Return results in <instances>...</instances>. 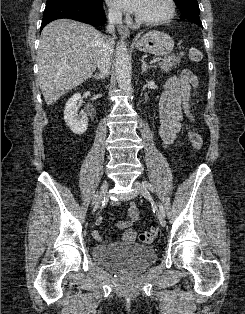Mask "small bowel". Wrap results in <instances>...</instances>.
I'll list each match as a JSON object with an SVG mask.
<instances>
[{"label":"small bowel","mask_w":245,"mask_h":314,"mask_svg":"<svg viewBox=\"0 0 245 314\" xmlns=\"http://www.w3.org/2000/svg\"><path fill=\"white\" fill-rule=\"evenodd\" d=\"M197 86L195 74L188 69L182 70L179 75L164 86V91L159 103V136L165 148L172 145L182 130V121L189 116V98L192 87ZM129 220L120 221L118 226L124 229L122 241L130 243L136 240L137 230L132 228L133 222L140 216L138 207L130 202L128 209ZM96 237L102 238L96 234Z\"/></svg>","instance_id":"obj_1"}]
</instances>
